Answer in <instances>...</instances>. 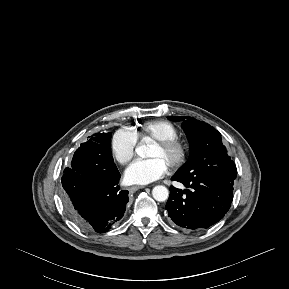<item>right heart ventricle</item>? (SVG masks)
<instances>
[{
  "mask_svg": "<svg viewBox=\"0 0 289 289\" xmlns=\"http://www.w3.org/2000/svg\"><path fill=\"white\" fill-rule=\"evenodd\" d=\"M132 132L137 140L142 142H154L178 137L175 126L164 120L144 122L136 126Z\"/></svg>",
  "mask_w": 289,
  "mask_h": 289,
  "instance_id": "obj_1",
  "label": "right heart ventricle"
}]
</instances>
